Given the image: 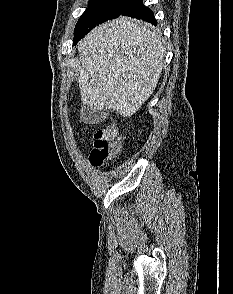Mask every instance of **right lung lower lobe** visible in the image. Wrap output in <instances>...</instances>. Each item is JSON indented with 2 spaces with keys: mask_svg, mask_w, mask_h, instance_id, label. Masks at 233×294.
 <instances>
[{
  "mask_svg": "<svg viewBox=\"0 0 233 294\" xmlns=\"http://www.w3.org/2000/svg\"><path fill=\"white\" fill-rule=\"evenodd\" d=\"M121 15L142 19L143 21L150 22L154 25L157 24V21L154 18V13L148 7H145L143 5L142 0H131ZM89 31H87L85 34L80 35L77 38H74V44H76L81 38H83Z\"/></svg>",
  "mask_w": 233,
  "mask_h": 294,
  "instance_id": "98d812e1",
  "label": "right lung lower lobe"
}]
</instances>
